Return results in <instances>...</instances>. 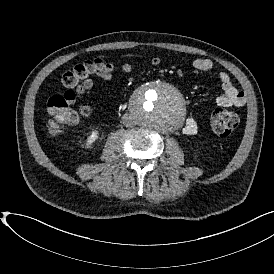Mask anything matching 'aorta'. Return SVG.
<instances>
[{
  "instance_id": "aorta-1",
  "label": "aorta",
  "mask_w": 274,
  "mask_h": 274,
  "mask_svg": "<svg viewBox=\"0 0 274 274\" xmlns=\"http://www.w3.org/2000/svg\"><path fill=\"white\" fill-rule=\"evenodd\" d=\"M130 113L137 125L168 133L181 126L186 108L181 93L175 87L155 81L133 95Z\"/></svg>"
}]
</instances>
